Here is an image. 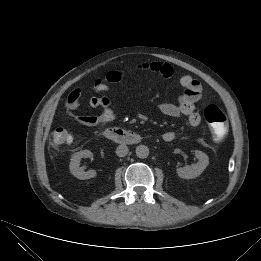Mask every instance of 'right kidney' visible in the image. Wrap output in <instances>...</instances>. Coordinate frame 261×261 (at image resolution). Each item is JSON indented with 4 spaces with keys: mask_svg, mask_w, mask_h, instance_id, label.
Returning <instances> with one entry per match:
<instances>
[{
    "mask_svg": "<svg viewBox=\"0 0 261 261\" xmlns=\"http://www.w3.org/2000/svg\"><path fill=\"white\" fill-rule=\"evenodd\" d=\"M92 157V152L89 150H81L74 153L71 156V162L69 165L70 172L78 179H90L96 177L95 170H89L85 172L82 167H80V161L82 158Z\"/></svg>",
    "mask_w": 261,
    "mask_h": 261,
    "instance_id": "right-kidney-1",
    "label": "right kidney"
}]
</instances>
